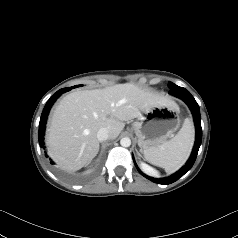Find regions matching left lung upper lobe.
Masks as SVG:
<instances>
[{"instance_id": "5c2ea615", "label": "left lung upper lobe", "mask_w": 238, "mask_h": 238, "mask_svg": "<svg viewBox=\"0 0 238 238\" xmlns=\"http://www.w3.org/2000/svg\"><path fill=\"white\" fill-rule=\"evenodd\" d=\"M175 86H176V85H175L174 83H172V82L169 83V87H170V88H173V87H175Z\"/></svg>"}]
</instances>
